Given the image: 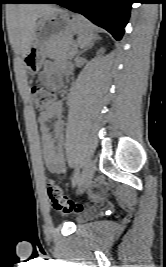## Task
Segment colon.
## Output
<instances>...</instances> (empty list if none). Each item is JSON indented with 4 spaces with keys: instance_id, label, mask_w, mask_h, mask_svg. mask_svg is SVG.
Returning a JSON list of instances; mask_svg holds the SVG:
<instances>
[{
    "instance_id": "5ec220e1",
    "label": "colon",
    "mask_w": 166,
    "mask_h": 267,
    "mask_svg": "<svg viewBox=\"0 0 166 267\" xmlns=\"http://www.w3.org/2000/svg\"><path fill=\"white\" fill-rule=\"evenodd\" d=\"M31 97L35 108L42 112L55 103V95L41 85H34L31 88ZM47 194L53 207L63 213L81 212L84 205L74 202L66 197L61 187L50 180L47 183Z\"/></svg>"
}]
</instances>
